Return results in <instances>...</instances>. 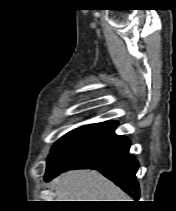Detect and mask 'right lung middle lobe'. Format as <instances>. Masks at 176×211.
Returning <instances> with one entry per match:
<instances>
[{
  "instance_id": "dd1d6c3e",
  "label": "right lung middle lobe",
  "mask_w": 176,
  "mask_h": 211,
  "mask_svg": "<svg viewBox=\"0 0 176 211\" xmlns=\"http://www.w3.org/2000/svg\"><path fill=\"white\" fill-rule=\"evenodd\" d=\"M96 126V124L82 126L64 135L52 147L47 165L49 166L53 164L69 147L79 141L84 135H86L91 129Z\"/></svg>"
}]
</instances>
